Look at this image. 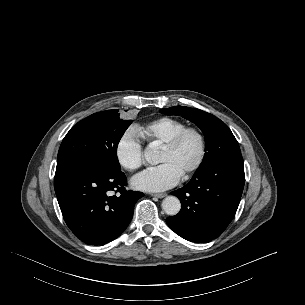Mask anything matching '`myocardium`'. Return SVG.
I'll return each instance as SVG.
<instances>
[{
	"label": "myocardium",
	"instance_id": "myocardium-1",
	"mask_svg": "<svg viewBox=\"0 0 305 305\" xmlns=\"http://www.w3.org/2000/svg\"><path fill=\"white\" fill-rule=\"evenodd\" d=\"M190 134L195 135L198 138L199 155L194 165L185 174H183L184 178H189L193 174H195L205 162L207 155V143L203 132L195 127H186L181 131H179L178 133H176L167 143H165L162 146L163 150H167V151L175 150L183 141V139Z\"/></svg>",
	"mask_w": 305,
	"mask_h": 305
}]
</instances>
